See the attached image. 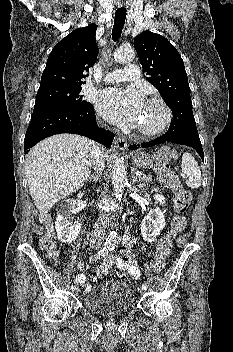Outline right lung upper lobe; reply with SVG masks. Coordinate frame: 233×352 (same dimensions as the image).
I'll use <instances>...</instances> for the list:
<instances>
[{"label": "right lung upper lobe", "instance_id": "1", "mask_svg": "<svg viewBox=\"0 0 233 352\" xmlns=\"http://www.w3.org/2000/svg\"><path fill=\"white\" fill-rule=\"evenodd\" d=\"M97 25L78 28L58 42L52 49L40 87L46 85H81L98 56Z\"/></svg>", "mask_w": 233, "mask_h": 352}]
</instances>
